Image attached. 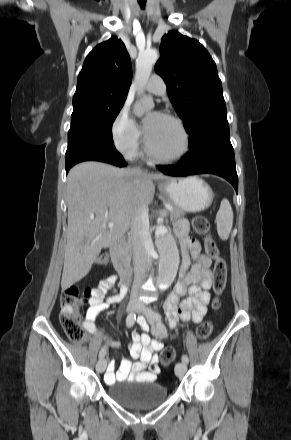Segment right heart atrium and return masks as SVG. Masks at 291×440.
I'll use <instances>...</instances> for the list:
<instances>
[{"instance_id": "right-heart-atrium-1", "label": "right heart atrium", "mask_w": 291, "mask_h": 440, "mask_svg": "<svg viewBox=\"0 0 291 440\" xmlns=\"http://www.w3.org/2000/svg\"><path fill=\"white\" fill-rule=\"evenodd\" d=\"M112 140L115 148L126 157L137 155L141 132L132 118L127 105H123L112 125Z\"/></svg>"}]
</instances>
